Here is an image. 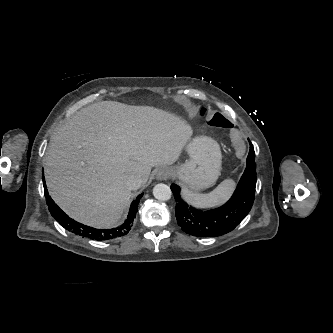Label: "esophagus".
<instances>
[{"label": "esophagus", "mask_w": 333, "mask_h": 333, "mask_svg": "<svg viewBox=\"0 0 333 333\" xmlns=\"http://www.w3.org/2000/svg\"><path fill=\"white\" fill-rule=\"evenodd\" d=\"M170 175L167 169H160L156 175L158 180H166Z\"/></svg>", "instance_id": "obj_1"}]
</instances>
